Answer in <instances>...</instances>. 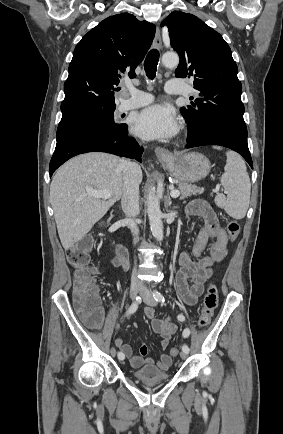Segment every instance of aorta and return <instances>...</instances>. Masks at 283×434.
Instances as JSON below:
<instances>
[{"mask_svg":"<svg viewBox=\"0 0 283 434\" xmlns=\"http://www.w3.org/2000/svg\"><path fill=\"white\" fill-rule=\"evenodd\" d=\"M162 63L166 67H176L179 63V57L176 53H165L162 56ZM147 213L152 235L157 241L163 240V223L160 203L155 194V188L150 187L147 198Z\"/></svg>","mask_w":283,"mask_h":434,"instance_id":"1","label":"aorta"}]
</instances>
